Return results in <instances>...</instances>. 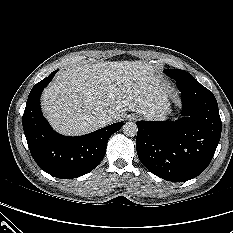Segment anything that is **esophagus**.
Returning <instances> with one entry per match:
<instances>
[{"instance_id":"34e87169","label":"esophagus","mask_w":233,"mask_h":233,"mask_svg":"<svg viewBox=\"0 0 233 233\" xmlns=\"http://www.w3.org/2000/svg\"><path fill=\"white\" fill-rule=\"evenodd\" d=\"M136 118H137L136 115H130V116H129V120H130V121H135Z\"/></svg>"}]
</instances>
